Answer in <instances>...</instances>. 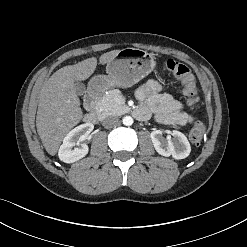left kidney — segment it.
I'll use <instances>...</instances> for the list:
<instances>
[{
	"instance_id": "left-kidney-1",
	"label": "left kidney",
	"mask_w": 247,
	"mask_h": 247,
	"mask_svg": "<svg viewBox=\"0 0 247 247\" xmlns=\"http://www.w3.org/2000/svg\"><path fill=\"white\" fill-rule=\"evenodd\" d=\"M166 138L162 136V131L155 130L151 132L150 137L155 150L162 156H172L174 159H184L190 152L191 147L187 137L176 130H173Z\"/></svg>"
}]
</instances>
